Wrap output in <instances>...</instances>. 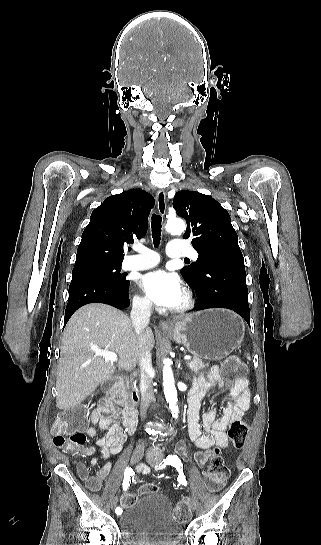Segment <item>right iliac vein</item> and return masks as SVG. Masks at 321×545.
I'll list each match as a JSON object with an SVG mask.
<instances>
[{
    "label": "right iliac vein",
    "instance_id": "right-iliac-vein-1",
    "mask_svg": "<svg viewBox=\"0 0 321 545\" xmlns=\"http://www.w3.org/2000/svg\"><path fill=\"white\" fill-rule=\"evenodd\" d=\"M143 455H144V449L143 448H136L133 451V454L131 456V463L135 464V463L139 462L141 460V458L143 457ZM116 504H117V498L114 497L112 499V501H111V509L112 510L116 507Z\"/></svg>",
    "mask_w": 321,
    "mask_h": 545
}]
</instances>
